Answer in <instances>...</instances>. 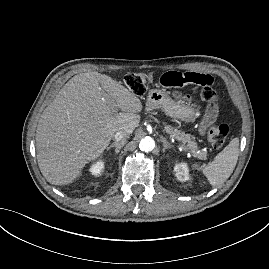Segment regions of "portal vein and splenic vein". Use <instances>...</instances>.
Listing matches in <instances>:
<instances>
[{
	"label": "portal vein and splenic vein",
	"mask_w": 269,
	"mask_h": 269,
	"mask_svg": "<svg viewBox=\"0 0 269 269\" xmlns=\"http://www.w3.org/2000/svg\"><path fill=\"white\" fill-rule=\"evenodd\" d=\"M105 97H106V98H108V96H107V95H105ZM181 146L184 148V150H187V149H186V147H184L183 145H181Z\"/></svg>",
	"instance_id": "1"
}]
</instances>
